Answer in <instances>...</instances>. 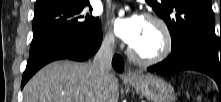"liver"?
<instances>
[{"label": "liver", "mask_w": 221, "mask_h": 102, "mask_svg": "<svg viewBox=\"0 0 221 102\" xmlns=\"http://www.w3.org/2000/svg\"><path fill=\"white\" fill-rule=\"evenodd\" d=\"M23 102H118L117 78H103L92 63L52 62L25 85Z\"/></svg>", "instance_id": "liver-1"}]
</instances>
